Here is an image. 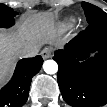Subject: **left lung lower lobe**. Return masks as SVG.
<instances>
[{"mask_svg":"<svg viewBox=\"0 0 107 107\" xmlns=\"http://www.w3.org/2000/svg\"><path fill=\"white\" fill-rule=\"evenodd\" d=\"M91 51L97 54L87 59ZM53 59L59 65L57 79L66 103L76 107L107 103V18L91 23Z\"/></svg>","mask_w":107,"mask_h":107,"instance_id":"obj_1","label":"left lung lower lobe"}]
</instances>
